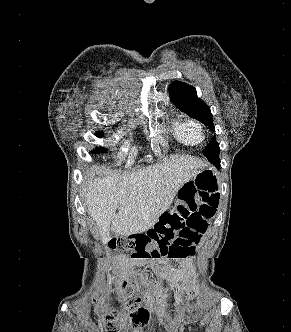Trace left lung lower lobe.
<instances>
[{
	"label": "left lung lower lobe",
	"mask_w": 291,
	"mask_h": 332,
	"mask_svg": "<svg viewBox=\"0 0 291 332\" xmlns=\"http://www.w3.org/2000/svg\"><path fill=\"white\" fill-rule=\"evenodd\" d=\"M211 163L214 164L217 168H220V161H219V159L214 160Z\"/></svg>",
	"instance_id": "left-lung-lower-lobe-1"
}]
</instances>
